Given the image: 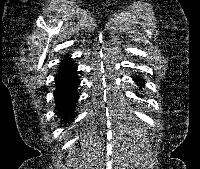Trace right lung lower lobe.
<instances>
[{"label": "right lung lower lobe", "instance_id": "obj_1", "mask_svg": "<svg viewBox=\"0 0 200 169\" xmlns=\"http://www.w3.org/2000/svg\"><path fill=\"white\" fill-rule=\"evenodd\" d=\"M55 81L56 90L54 95L57 114L65 118L64 121H68L76 109L77 88L80 84V79L76 76V69L71 59H64L60 63V69Z\"/></svg>", "mask_w": 200, "mask_h": 169}]
</instances>
